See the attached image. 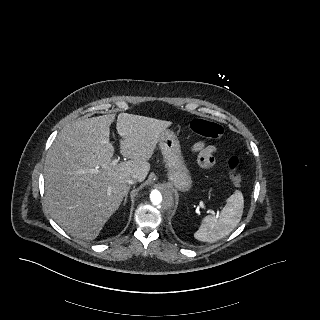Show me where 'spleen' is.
<instances>
[{
  "label": "spleen",
  "instance_id": "3e777b00",
  "mask_svg": "<svg viewBox=\"0 0 320 320\" xmlns=\"http://www.w3.org/2000/svg\"><path fill=\"white\" fill-rule=\"evenodd\" d=\"M244 199L241 191L236 190L228 199L218 216L203 218L194 237L199 241L214 242L229 235L241 220Z\"/></svg>",
  "mask_w": 320,
  "mask_h": 320
}]
</instances>
